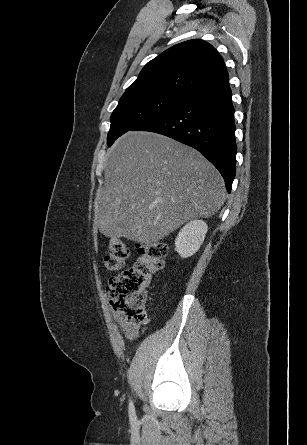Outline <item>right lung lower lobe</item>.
Wrapping results in <instances>:
<instances>
[{
	"instance_id": "98d812e1",
	"label": "right lung lower lobe",
	"mask_w": 307,
	"mask_h": 445,
	"mask_svg": "<svg viewBox=\"0 0 307 445\" xmlns=\"http://www.w3.org/2000/svg\"><path fill=\"white\" fill-rule=\"evenodd\" d=\"M131 131L159 133L197 149L219 170L230 193L236 173V143L228 78Z\"/></svg>"
}]
</instances>
